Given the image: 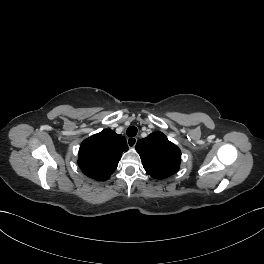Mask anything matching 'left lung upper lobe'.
<instances>
[{"instance_id": "obj_1", "label": "left lung upper lobe", "mask_w": 264, "mask_h": 264, "mask_svg": "<svg viewBox=\"0 0 264 264\" xmlns=\"http://www.w3.org/2000/svg\"><path fill=\"white\" fill-rule=\"evenodd\" d=\"M146 172L158 179L174 174L180 166L181 151L162 132H154L136 144Z\"/></svg>"}]
</instances>
